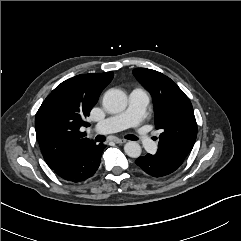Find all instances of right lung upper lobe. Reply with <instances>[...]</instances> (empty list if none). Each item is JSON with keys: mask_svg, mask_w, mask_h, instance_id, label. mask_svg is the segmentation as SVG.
I'll return each mask as SVG.
<instances>
[{"mask_svg": "<svg viewBox=\"0 0 241 241\" xmlns=\"http://www.w3.org/2000/svg\"><path fill=\"white\" fill-rule=\"evenodd\" d=\"M112 72L81 74L58 85L44 100L35 117L36 137L47 165L52 168L69 151L94 144L80 132Z\"/></svg>", "mask_w": 241, "mask_h": 241, "instance_id": "obj_1", "label": "right lung upper lobe"}]
</instances>
